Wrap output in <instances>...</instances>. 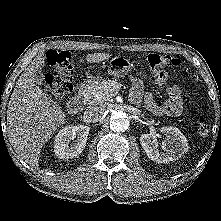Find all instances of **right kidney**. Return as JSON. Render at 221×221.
I'll use <instances>...</instances> for the list:
<instances>
[{"mask_svg":"<svg viewBox=\"0 0 221 221\" xmlns=\"http://www.w3.org/2000/svg\"><path fill=\"white\" fill-rule=\"evenodd\" d=\"M89 131L90 128L85 125L63 127L54 139L55 155L60 159H69L81 154L86 146Z\"/></svg>","mask_w":221,"mask_h":221,"instance_id":"obj_1","label":"right kidney"}]
</instances>
